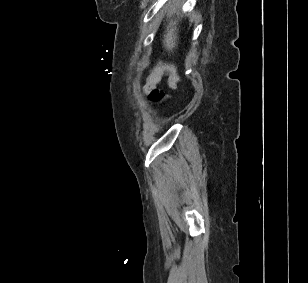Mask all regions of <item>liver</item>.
<instances>
[{
	"label": "liver",
	"instance_id": "1",
	"mask_svg": "<svg viewBox=\"0 0 308 283\" xmlns=\"http://www.w3.org/2000/svg\"><path fill=\"white\" fill-rule=\"evenodd\" d=\"M180 0H173L172 5L170 6L171 9V15H175L177 8L179 7ZM177 22L178 20L172 19L170 20L168 26H167V31L166 34L164 35V47L166 50L169 52L173 51V48L176 46L177 42Z\"/></svg>",
	"mask_w": 308,
	"mask_h": 283
}]
</instances>
